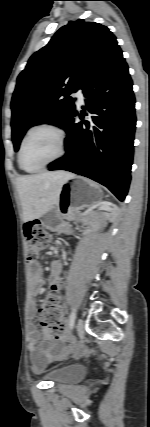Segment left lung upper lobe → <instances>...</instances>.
<instances>
[{"label":"left lung upper lobe","instance_id":"1","mask_svg":"<svg viewBox=\"0 0 150 427\" xmlns=\"http://www.w3.org/2000/svg\"><path fill=\"white\" fill-rule=\"evenodd\" d=\"M117 47L116 37L106 26L78 19L60 28L31 56L18 76L11 101L15 151L33 125L47 122L64 127L75 110L69 95L83 88Z\"/></svg>","mask_w":150,"mask_h":427}]
</instances>
